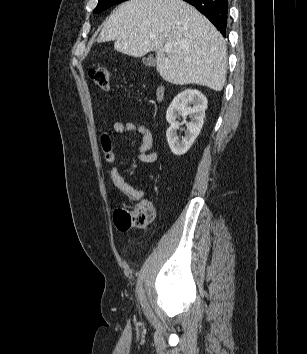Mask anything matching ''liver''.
<instances>
[{"mask_svg": "<svg viewBox=\"0 0 307 354\" xmlns=\"http://www.w3.org/2000/svg\"><path fill=\"white\" fill-rule=\"evenodd\" d=\"M133 57L156 52L167 82L198 84L221 91L226 80L224 38L197 9L182 0H130L110 15L97 39ZM170 45L165 53L163 48Z\"/></svg>", "mask_w": 307, "mask_h": 354, "instance_id": "1", "label": "liver"}]
</instances>
